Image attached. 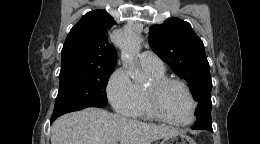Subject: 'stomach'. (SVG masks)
<instances>
[{
	"mask_svg": "<svg viewBox=\"0 0 260 144\" xmlns=\"http://www.w3.org/2000/svg\"><path fill=\"white\" fill-rule=\"evenodd\" d=\"M161 144H196L195 141L182 132L163 138Z\"/></svg>",
	"mask_w": 260,
	"mask_h": 144,
	"instance_id": "obj_1",
	"label": "stomach"
}]
</instances>
